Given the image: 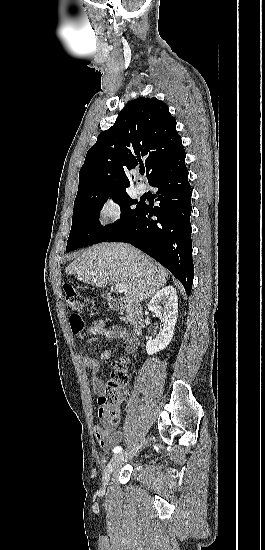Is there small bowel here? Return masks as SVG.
<instances>
[{
	"instance_id": "c3829d8e",
	"label": "small bowel",
	"mask_w": 265,
	"mask_h": 550,
	"mask_svg": "<svg viewBox=\"0 0 265 550\" xmlns=\"http://www.w3.org/2000/svg\"><path fill=\"white\" fill-rule=\"evenodd\" d=\"M79 338L84 337H104L108 341H120L124 344L125 349L128 352H133L136 349L135 337L127 330L122 328H107L105 324L101 321H97L86 329H83L79 333L75 334ZM112 351L110 349L104 350L101 354L96 357H83L82 364L84 367L89 368L93 376V388L96 394L99 396L102 395L104 390L103 381L97 376L102 368L104 361L110 359ZM99 421L100 423L94 426V435L97 439V442L100 448L103 451H107L111 445L119 443L122 438L120 431L112 428L110 424L106 421L104 414L99 409Z\"/></svg>"
}]
</instances>
